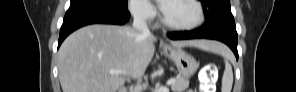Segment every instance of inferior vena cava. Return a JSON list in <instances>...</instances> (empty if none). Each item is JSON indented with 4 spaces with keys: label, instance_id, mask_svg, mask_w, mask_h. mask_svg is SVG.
<instances>
[{
    "label": "inferior vena cava",
    "instance_id": "602c4592",
    "mask_svg": "<svg viewBox=\"0 0 296 92\" xmlns=\"http://www.w3.org/2000/svg\"><path fill=\"white\" fill-rule=\"evenodd\" d=\"M133 27L139 32H141L143 35H147V36L151 35L150 30L146 24L144 10L142 8H138L134 12ZM141 91H142V87L140 85H137L135 87L134 92H141Z\"/></svg>",
    "mask_w": 296,
    "mask_h": 92
}]
</instances>
